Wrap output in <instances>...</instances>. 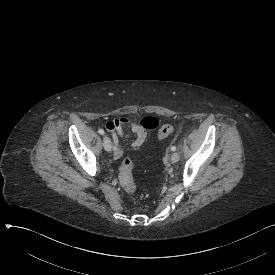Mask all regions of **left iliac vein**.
<instances>
[{
    "label": "left iliac vein",
    "mask_w": 275,
    "mask_h": 275,
    "mask_svg": "<svg viewBox=\"0 0 275 275\" xmlns=\"http://www.w3.org/2000/svg\"><path fill=\"white\" fill-rule=\"evenodd\" d=\"M180 156H179V153L178 152H173L172 155H171V161L173 163H176L178 162Z\"/></svg>",
    "instance_id": "obj_1"
}]
</instances>
